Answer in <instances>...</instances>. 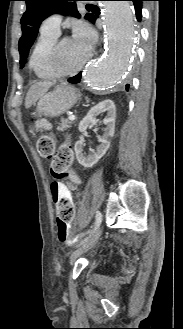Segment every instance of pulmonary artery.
<instances>
[{
	"mask_svg": "<svg viewBox=\"0 0 183 329\" xmlns=\"http://www.w3.org/2000/svg\"><path fill=\"white\" fill-rule=\"evenodd\" d=\"M61 20L62 17L58 13L50 15L43 21L41 25V31L59 35Z\"/></svg>",
	"mask_w": 183,
	"mask_h": 329,
	"instance_id": "e3ab8cb5",
	"label": "pulmonary artery"
}]
</instances>
